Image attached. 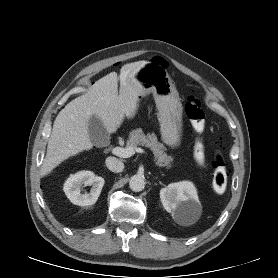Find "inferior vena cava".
I'll return each mask as SVG.
<instances>
[{"label": "inferior vena cava", "instance_id": "602c4592", "mask_svg": "<svg viewBox=\"0 0 278 278\" xmlns=\"http://www.w3.org/2000/svg\"><path fill=\"white\" fill-rule=\"evenodd\" d=\"M106 166L112 172H121L124 169V164L122 161L115 157H108L106 159Z\"/></svg>", "mask_w": 278, "mask_h": 278}]
</instances>
